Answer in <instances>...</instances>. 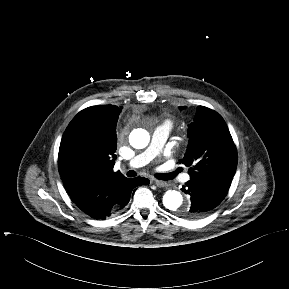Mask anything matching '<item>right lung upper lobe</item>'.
Returning a JSON list of instances; mask_svg holds the SVG:
<instances>
[{
	"instance_id": "cb5924a9",
	"label": "right lung upper lobe",
	"mask_w": 289,
	"mask_h": 289,
	"mask_svg": "<svg viewBox=\"0 0 289 289\" xmlns=\"http://www.w3.org/2000/svg\"><path fill=\"white\" fill-rule=\"evenodd\" d=\"M120 108L115 105L89 107L79 112L66 128L58 154V169L74 203L89 216L100 219L116 206L123 186L129 181L114 172ZM93 128H104L100 142L88 137Z\"/></svg>"
}]
</instances>
